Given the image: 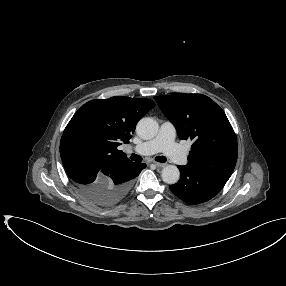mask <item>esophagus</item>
<instances>
[{"mask_svg": "<svg viewBox=\"0 0 286 286\" xmlns=\"http://www.w3.org/2000/svg\"><path fill=\"white\" fill-rule=\"evenodd\" d=\"M154 164L157 166V167H164L165 164L164 163H159V162H154Z\"/></svg>", "mask_w": 286, "mask_h": 286, "instance_id": "34e87169", "label": "esophagus"}]
</instances>
